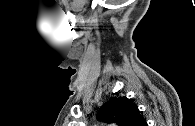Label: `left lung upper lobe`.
<instances>
[{
  "instance_id": "1",
  "label": "left lung upper lobe",
  "mask_w": 195,
  "mask_h": 126,
  "mask_svg": "<svg viewBox=\"0 0 195 126\" xmlns=\"http://www.w3.org/2000/svg\"><path fill=\"white\" fill-rule=\"evenodd\" d=\"M97 119L116 123L119 126H142L146 122L136 104L126 97H115L106 102L99 109Z\"/></svg>"
}]
</instances>
